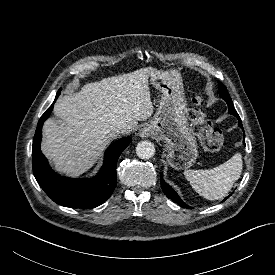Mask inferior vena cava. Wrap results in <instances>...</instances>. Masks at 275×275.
<instances>
[{"label":"inferior vena cava","instance_id":"inferior-vena-cava-1","mask_svg":"<svg viewBox=\"0 0 275 275\" xmlns=\"http://www.w3.org/2000/svg\"><path fill=\"white\" fill-rule=\"evenodd\" d=\"M116 132L119 134H126L129 133V129L126 126H120L118 127V129L116 130Z\"/></svg>","mask_w":275,"mask_h":275}]
</instances>
